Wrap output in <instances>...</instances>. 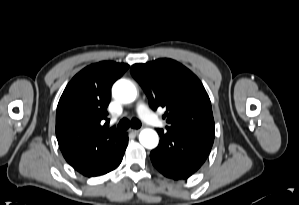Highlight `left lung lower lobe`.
I'll return each mask as SVG.
<instances>
[{
    "label": "left lung lower lobe",
    "instance_id": "left-lung-lower-lobe-1",
    "mask_svg": "<svg viewBox=\"0 0 299 205\" xmlns=\"http://www.w3.org/2000/svg\"><path fill=\"white\" fill-rule=\"evenodd\" d=\"M159 145L150 153L154 167L174 180L187 179L205 162L214 137L158 129Z\"/></svg>",
    "mask_w": 299,
    "mask_h": 205
}]
</instances>
